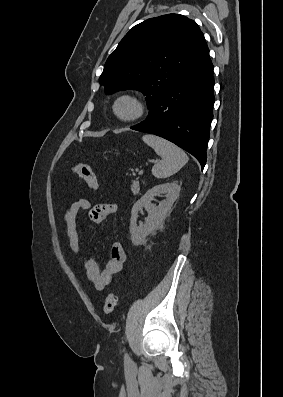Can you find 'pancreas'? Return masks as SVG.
I'll return each instance as SVG.
<instances>
[{"mask_svg": "<svg viewBox=\"0 0 283 397\" xmlns=\"http://www.w3.org/2000/svg\"><path fill=\"white\" fill-rule=\"evenodd\" d=\"M140 181L137 179L135 181H133V184L131 186V191L133 192V194H137L140 191Z\"/></svg>", "mask_w": 283, "mask_h": 397, "instance_id": "1", "label": "pancreas"}]
</instances>
